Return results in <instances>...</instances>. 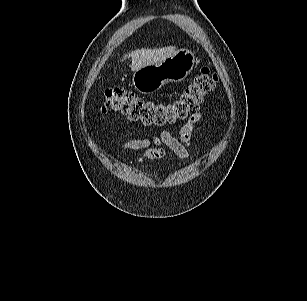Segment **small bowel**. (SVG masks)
Segmentation results:
<instances>
[{"mask_svg":"<svg viewBox=\"0 0 307 301\" xmlns=\"http://www.w3.org/2000/svg\"><path fill=\"white\" fill-rule=\"evenodd\" d=\"M202 118L201 113H196L181 127L179 135L173 136L168 131H163L157 136L151 138H134L125 141L121 148L124 151H142L137 158V164H143L146 161L162 159L165 156V147L175 153L179 158H188L190 153V141L192 132L196 123Z\"/></svg>","mask_w":307,"mask_h":301,"instance_id":"1","label":"small bowel"}]
</instances>
